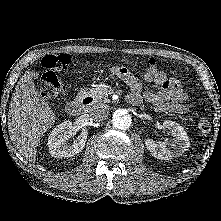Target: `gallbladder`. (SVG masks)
I'll use <instances>...</instances> for the list:
<instances>
[{"label":"gallbladder","instance_id":"1","mask_svg":"<svg viewBox=\"0 0 221 221\" xmlns=\"http://www.w3.org/2000/svg\"><path fill=\"white\" fill-rule=\"evenodd\" d=\"M31 75H32V78L37 79L39 76V73L37 71H32Z\"/></svg>","mask_w":221,"mask_h":221}]
</instances>
